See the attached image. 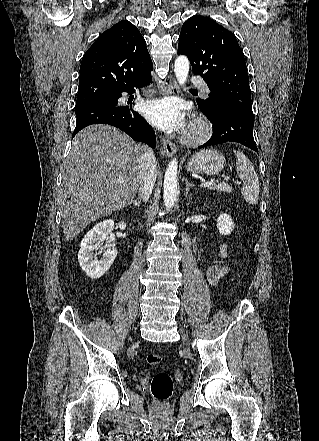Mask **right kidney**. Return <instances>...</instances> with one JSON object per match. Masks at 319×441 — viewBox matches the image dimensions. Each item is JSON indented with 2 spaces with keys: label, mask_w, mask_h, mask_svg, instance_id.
<instances>
[{
  "label": "right kidney",
  "mask_w": 319,
  "mask_h": 441,
  "mask_svg": "<svg viewBox=\"0 0 319 441\" xmlns=\"http://www.w3.org/2000/svg\"><path fill=\"white\" fill-rule=\"evenodd\" d=\"M119 228L125 230L126 224L124 222L119 223ZM113 229L114 221L112 219L104 220L90 229L81 241L78 261L82 270L91 279H98L103 276L117 256L118 251L112 249L104 253L103 259L100 261L97 259V252L101 253L109 246L108 244L102 245Z\"/></svg>",
  "instance_id": "right-kidney-1"
}]
</instances>
